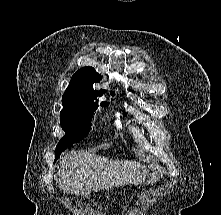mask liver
I'll list each match as a JSON object with an SVG mask.
<instances>
[{
  "label": "liver",
  "instance_id": "liver-1",
  "mask_svg": "<svg viewBox=\"0 0 221 215\" xmlns=\"http://www.w3.org/2000/svg\"><path fill=\"white\" fill-rule=\"evenodd\" d=\"M57 169L64 189L86 198L91 189L97 192L114 186L141 184L148 171L146 166L133 160H109L82 151L62 156Z\"/></svg>",
  "mask_w": 221,
  "mask_h": 215
}]
</instances>
